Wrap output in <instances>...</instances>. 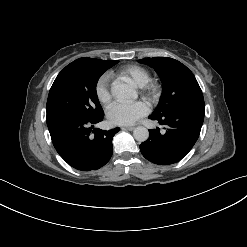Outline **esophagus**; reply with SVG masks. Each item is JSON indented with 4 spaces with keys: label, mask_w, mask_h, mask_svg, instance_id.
Returning <instances> with one entry per match:
<instances>
[{
    "label": "esophagus",
    "mask_w": 247,
    "mask_h": 247,
    "mask_svg": "<svg viewBox=\"0 0 247 247\" xmlns=\"http://www.w3.org/2000/svg\"><path fill=\"white\" fill-rule=\"evenodd\" d=\"M122 129L132 131L135 129V127L134 126H124V127H122Z\"/></svg>",
    "instance_id": "esophagus-1"
}]
</instances>
